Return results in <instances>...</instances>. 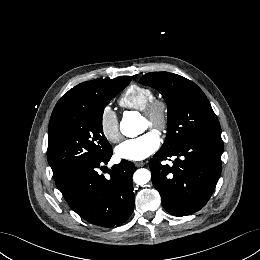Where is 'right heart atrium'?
Here are the masks:
<instances>
[{"instance_id":"right-heart-atrium-1","label":"right heart atrium","mask_w":260,"mask_h":260,"mask_svg":"<svg viewBox=\"0 0 260 260\" xmlns=\"http://www.w3.org/2000/svg\"><path fill=\"white\" fill-rule=\"evenodd\" d=\"M100 130L103 136L112 143L121 139L119 120L116 112L109 106L102 109L99 117Z\"/></svg>"}]
</instances>
